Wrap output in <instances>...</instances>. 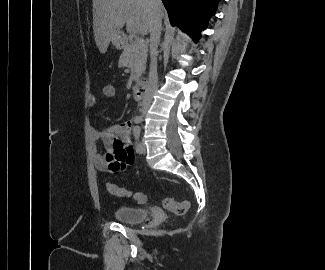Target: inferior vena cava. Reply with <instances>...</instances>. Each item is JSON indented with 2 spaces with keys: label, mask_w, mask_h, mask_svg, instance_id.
Returning a JSON list of instances; mask_svg holds the SVG:
<instances>
[{
  "label": "inferior vena cava",
  "mask_w": 325,
  "mask_h": 270,
  "mask_svg": "<svg viewBox=\"0 0 325 270\" xmlns=\"http://www.w3.org/2000/svg\"><path fill=\"white\" fill-rule=\"evenodd\" d=\"M152 8V27L150 30V70L148 75V82L145 89L143 102H142V113L145 114L153 100V95L157 90L158 75H157V58L156 51L160 42L161 35V17L158 12V7L162 5L161 0H148Z\"/></svg>",
  "instance_id": "602c4592"
}]
</instances>
